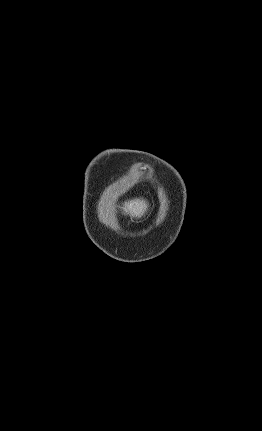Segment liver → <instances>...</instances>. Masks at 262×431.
I'll return each mask as SVG.
<instances>
[{
	"instance_id": "6515ba94",
	"label": "liver",
	"mask_w": 262,
	"mask_h": 431,
	"mask_svg": "<svg viewBox=\"0 0 262 431\" xmlns=\"http://www.w3.org/2000/svg\"><path fill=\"white\" fill-rule=\"evenodd\" d=\"M148 204L143 199H134L126 202L123 210L125 213L130 214L131 217L140 218L147 211Z\"/></svg>"
}]
</instances>
